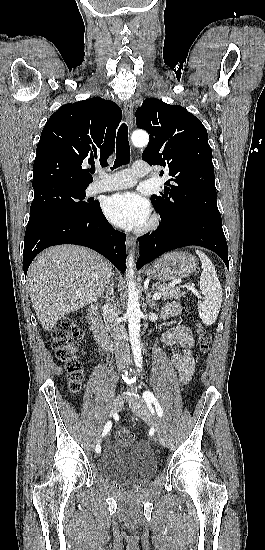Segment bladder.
Masks as SVG:
<instances>
[{
	"mask_svg": "<svg viewBox=\"0 0 265 550\" xmlns=\"http://www.w3.org/2000/svg\"><path fill=\"white\" fill-rule=\"evenodd\" d=\"M104 475L122 483L139 484L151 479L157 470V459L143 441L112 442L97 462Z\"/></svg>",
	"mask_w": 265,
	"mask_h": 550,
	"instance_id": "31cf9c89",
	"label": "bladder"
}]
</instances>
